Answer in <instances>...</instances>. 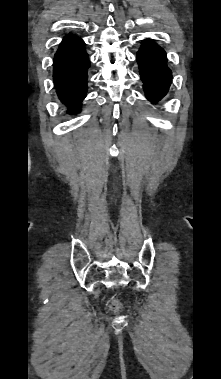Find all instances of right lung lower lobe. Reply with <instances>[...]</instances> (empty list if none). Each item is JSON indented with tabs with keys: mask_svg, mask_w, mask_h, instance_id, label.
Instances as JSON below:
<instances>
[{
	"mask_svg": "<svg viewBox=\"0 0 221 379\" xmlns=\"http://www.w3.org/2000/svg\"><path fill=\"white\" fill-rule=\"evenodd\" d=\"M89 67L84 42L72 34L64 37L54 57L53 77L57 94L70 114L79 112L86 97Z\"/></svg>",
	"mask_w": 221,
	"mask_h": 379,
	"instance_id": "right-lung-lower-lobe-1",
	"label": "right lung lower lobe"
}]
</instances>
